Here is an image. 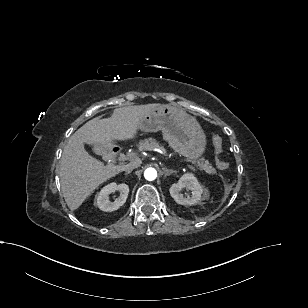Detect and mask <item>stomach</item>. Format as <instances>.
Masks as SVG:
<instances>
[{
  "mask_svg": "<svg viewBox=\"0 0 308 308\" xmlns=\"http://www.w3.org/2000/svg\"><path fill=\"white\" fill-rule=\"evenodd\" d=\"M138 128L144 132L162 131L164 139L187 161L201 157L206 148L205 133L196 119L171 105H161L145 114Z\"/></svg>",
  "mask_w": 308,
  "mask_h": 308,
  "instance_id": "stomach-1",
  "label": "stomach"
}]
</instances>
